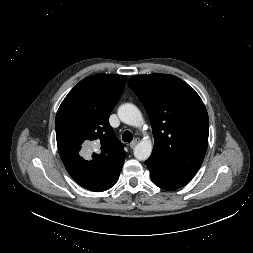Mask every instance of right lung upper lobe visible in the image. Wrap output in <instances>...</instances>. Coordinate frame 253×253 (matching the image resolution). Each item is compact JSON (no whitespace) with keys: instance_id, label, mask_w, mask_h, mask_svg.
I'll list each match as a JSON object with an SVG mask.
<instances>
[{"instance_id":"cb5924a9","label":"right lung upper lobe","mask_w":253,"mask_h":253,"mask_svg":"<svg viewBox=\"0 0 253 253\" xmlns=\"http://www.w3.org/2000/svg\"><path fill=\"white\" fill-rule=\"evenodd\" d=\"M126 76L97 74L81 80L61 103L56 138L70 176L82 187L100 192L121 171L126 152L109 124ZM95 150L83 157V147Z\"/></svg>"}]
</instances>
